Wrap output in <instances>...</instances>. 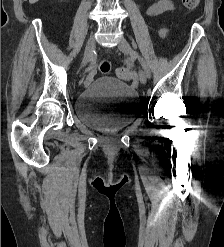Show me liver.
I'll use <instances>...</instances> for the list:
<instances>
[{
	"label": "liver",
	"mask_w": 224,
	"mask_h": 247,
	"mask_svg": "<svg viewBox=\"0 0 224 247\" xmlns=\"http://www.w3.org/2000/svg\"><path fill=\"white\" fill-rule=\"evenodd\" d=\"M35 2H38V0H29V4H35Z\"/></svg>",
	"instance_id": "liver-1"
}]
</instances>
